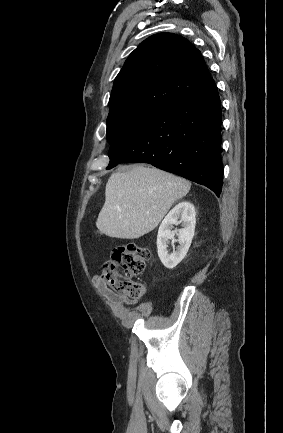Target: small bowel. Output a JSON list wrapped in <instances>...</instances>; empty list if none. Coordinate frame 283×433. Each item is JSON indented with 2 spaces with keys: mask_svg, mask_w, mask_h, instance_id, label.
Wrapping results in <instances>:
<instances>
[{
  "mask_svg": "<svg viewBox=\"0 0 283 433\" xmlns=\"http://www.w3.org/2000/svg\"><path fill=\"white\" fill-rule=\"evenodd\" d=\"M93 282L99 292L115 305L119 318L125 324H133L137 318V313L130 311L129 308L137 303V299L123 297L110 291L101 276H95Z\"/></svg>",
  "mask_w": 283,
  "mask_h": 433,
  "instance_id": "c3829d8e",
  "label": "small bowel"
}]
</instances>
